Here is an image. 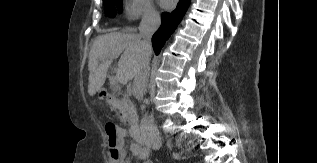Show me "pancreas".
Segmentation results:
<instances>
[{
    "label": "pancreas",
    "mask_w": 317,
    "mask_h": 163,
    "mask_svg": "<svg viewBox=\"0 0 317 163\" xmlns=\"http://www.w3.org/2000/svg\"><path fill=\"white\" fill-rule=\"evenodd\" d=\"M113 108L119 116L121 122L124 124L128 122V124L131 126L137 123L138 116L135 106L128 97L125 96L121 100L115 101L113 103Z\"/></svg>",
    "instance_id": "1"
}]
</instances>
